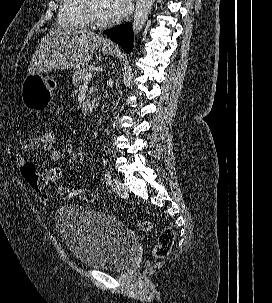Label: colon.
<instances>
[{
    "mask_svg": "<svg viewBox=\"0 0 272 303\" xmlns=\"http://www.w3.org/2000/svg\"><path fill=\"white\" fill-rule=\"evenodd\" d=\"M40 144L45 148H57V135L51 128L42 129L36 136ZM85 155L81 151H77L70 156L71 170L78 171L84 167ZM21 174L26 182L34 190V192L41 198H47L45 186L47 185V178L43 174H39L32 164H24L21 167ZM58 194L63 199L78 197L86 203L92 204L95 202V195L88 189L71 188L61 186L58 188ZM142 229L146 232L151 231L152 223L148 220L142 223ZM174 231L170 227H164L158 232L157 242L152 250V256L156 259L165 258L173 245Z\"/></svg>",
    "mask_w": 272,
    "mask_h": 303,
    "instance_id": "5ec220e1",
    "label": "colon"
}]
</instances>
